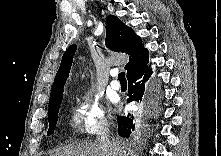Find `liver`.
<instances>
[{
    "label": "liver",
    "mask_w": 221,
    "mask_h": 156,
    "mask_svg": "<svg viewBox=\"0 0 221 156\" xmlns=\"http://www.w3.org/2000/svg\"><path fill=\"white\" fill-rule=\"evenodd\" d=\"M124 147L118 141H113V147L106 149L97 140L95 142H85L75 146H69L56 151L53 156H122Z\"/></svg>",
    "instance_id": "1"
}]
</instances>
